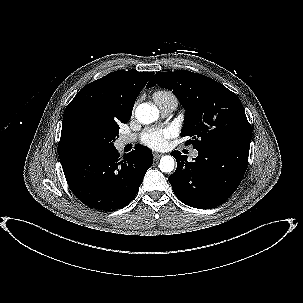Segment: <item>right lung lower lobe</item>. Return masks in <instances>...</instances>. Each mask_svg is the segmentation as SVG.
I'll return each mask as SVG.
<instances>
[{
  "label": "right lung lower lobe",
  "instance_id": "1",
  "mask_svg": "<svg viewBox=\"0 0 303 303\" xmlns=\"http://www.w3.org/2000/svg\"><path fill=\"white\" fill-rule=\"evenodd\" d=\"M152 163V152L146 147L137 145L120 157L113 146L62 164V168L71 191L82 203L114 211L133 200Z\"/></svg>",
  "mask_w": 303,
  "mask_h": 303
}]
</instances>
